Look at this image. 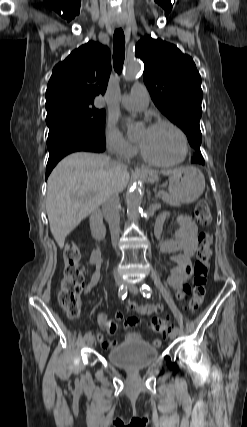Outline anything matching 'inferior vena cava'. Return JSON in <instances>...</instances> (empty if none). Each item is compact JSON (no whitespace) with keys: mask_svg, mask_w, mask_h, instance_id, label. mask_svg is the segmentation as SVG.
Wrapping results in <instances>:
<instances>
[{"mask_svg":"<svg viewBox=\"0 0 247 427\" xmlns=\"http://www.w3.org/2000/svg\"><path fill=\"white\" fill-rule=\"evenodd\" d=\"M102 211L105 219L109 224L112 243L114 247H116V244L120 235V214H119L118 194H111L104 198L102 202Z\"/></svg>","mask_w":247,"mask_h":427,"instance_id":"obj_1","label":"inferior vena cava"}]
</instances>
